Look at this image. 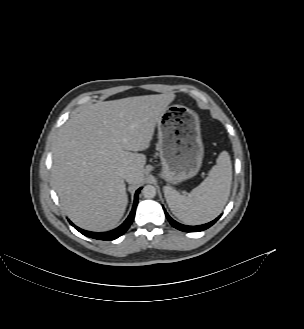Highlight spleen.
Returning a JSON list of instances; mask_svg holds the SVG:
<instances>
[{"instance_id":"obj_1","label":"spleen","mask_w":304,"mask_h":329,"mask_svg":"<svg viewBox=\"0 0 304 329\" xmlns=\"http://www.w3.org/2000/svg\"><path fill=\"white\" fill-rule=\"evenodd\" d=\"M232 165L228 152L223 151L206 179L187 196L165 186L164 195L171 212L189 225L207 223L223 210L231 189Z\"/></svg>"}]
</instances>
